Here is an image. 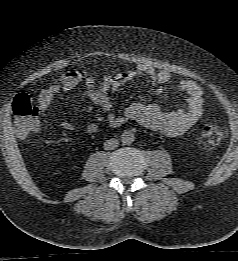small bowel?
Instances as JSON below:
<instances>
[{"mask_svg": "<svg viewBox=\"0 0 238 261\" xmlns=\"http://www.w3.org/2000/svg\"><path fill=\"white\" fill-rule=\"evenodd\" d=\"M135 78L149 79L152 91L158 94L161 93L164 85L171 81L172 75L167 71H157L150 66L140 64L136 69L125 71L117 76L107 74L98 85L84 72H70L39 94L40 114L45 113L58 94L68 92L83 84L86 88L85 95L107 113V123L112 129L134 121L147 129L175 137L185 133L200 120L204 107L203 90L196 82L189 79H182L176 85L177 90L186 97V105L183 108L168 112L154 103L136 102L129 105L121 115H116L112 111L111 95ZM61 127L65 131L75 129V125L70 121L63 122ZM85 129L87 133L94 134L99 130V126L91 122Z\"/></svg>", "mask_w": 238, "mask_h": 261, "instance_id": "c3829d8e", "label": "small bowel"}]
</instances>
